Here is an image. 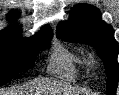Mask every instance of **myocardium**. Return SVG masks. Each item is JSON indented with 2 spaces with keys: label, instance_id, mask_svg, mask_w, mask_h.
Segmentation results:
<instances>
[{
  "label": "myocardium",
  "instance_id": "obj_1",
  "mask_svg": "<svg viewBox=\"0 0 119 95\" xmlns=\"http://www.w3.org/2000/svg\"><path fill=\"white\" fill-rule=\"evenodd\" d=\"M88 63L91 64V65L95 64V60H94V58L92 56H90L88 58Z\"/></svg>",
  "mask_w": 119,
  "mask_h": 95
}]
</instances>
